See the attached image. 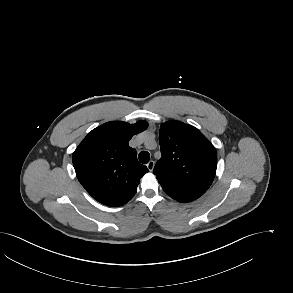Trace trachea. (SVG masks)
I'll use <instances>...</instances> for the list:
<instances>
[{
  "mask_svg": "<svg viewBox=\"0 0 293 293\" xmlns=\"http://www.w3.org/2000/svg\"><path fill=\"white\" fill-rule=\"evenodd\" d=\"M138 157L141 163L147 164L150 159V154L147 151H141Z\"/></svg>",
  "mask_w": 293,
  "mask_h": 293,
  "instance_id": "trachea-1",
  "label": "trachea"
}]
</instances>
